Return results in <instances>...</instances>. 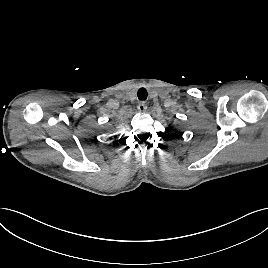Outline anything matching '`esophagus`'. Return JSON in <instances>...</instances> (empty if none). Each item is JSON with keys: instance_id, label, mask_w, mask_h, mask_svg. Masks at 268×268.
Instances as JSON below:
<instances>
[{"instance_id": "obj_1", "label": "esophagus", "mask_w": 268, "mask_h": 268, "mask_svg": "<svg viewBox=\"0 0 268 268\" xmlns=\"http://www.w3.org/2000/svg\"><path fill=\"white\" fill-rule=\"evenodd\" d=\"M137 109L139 112H145L147 109V105L145 102H139L137 105Z\"/></svg>"}]
</instances>
